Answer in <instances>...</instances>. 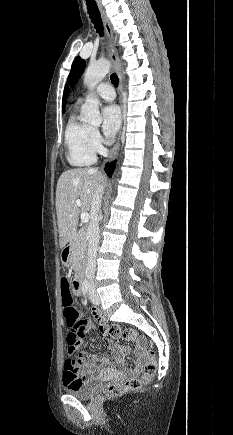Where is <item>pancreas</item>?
Wrapping results in <instances>:
<instances>
[{"label": "pancreas", "instance_id": "1", "mask_svg": "<svg viewBox=\"0 0 233 435\" xmlns=\"http://www.w3.org/2000/svg\"><path fill=\"white\" fill-rule=\"evenodd\" d=\"M86 232L81 228L71 244L70 262L77 272L82 268L85 258Z\"/></svg>", "mask_w": 233, "mask_h": 435}]
</instances>
